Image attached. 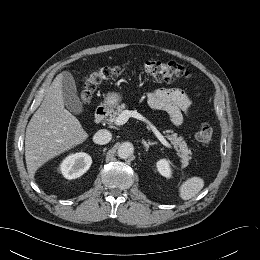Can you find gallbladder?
Segmentation results:
<instances>
[{"label":"gallbladder","instance_id":"obj_1","mask_svg":"<svg viewBox=\"0 0 260 260\" xmlns=\"http://www.w3.org/2000/svg\"><path fill=\"white\" fill-rule=\"evenodd\" d=\"M62 76V94L65 106L73 114L79 115L84 108L77 94L75 80L69 72H63Z\"/></svg>","mask_w":260,"mask_h":260}]
</instances>
